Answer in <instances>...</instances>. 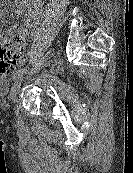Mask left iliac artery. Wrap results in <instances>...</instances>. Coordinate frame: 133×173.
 <instances>
[{"instance_id":"1","label":"left iliac artery","mask_w":133,"mask_h":173,"mask_svg":"<svg viewBox=\"0 0 133 173\" xmlns=\"http://www.w3.org/2000/svg\"><path fill=\"white\" fill-rule=\"evenodd\" d=\"M27 71V67L19 69L13 76V79L16 81L17 79L22 78L23 74Z\"/></svg>"}]
</instances>
